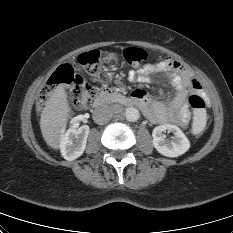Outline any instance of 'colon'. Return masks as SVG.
<instances>
[{"mask_svg": "<svg viewBox=\"0 0 233 233\" xmlns=\"http://www.w3.org/2000/svg\"><path fill=\"white\" fill-rule=\"evenodd\" d=\"M123 57L132 66H140L148 58L146 51L137 47L124 49ZM78 61L89 74L96 75L99 73L101 55L98 50H91L80 54ZM59 86H66L68 88L72 104L79 109L89 107L97 95L95 86L77 75L71 65L63 64L50 76L42 89L38 98V106L42 107L48 97ZM187 102L194 110L192 133L195 136L200 135L204 131L207 121L205 101L201 95L192 94L187 98Z\"/></svg>", "mask_w": 233, "mask_h": 233, "instance_id": "obj_1", "label": "colon"}]
</instances>
